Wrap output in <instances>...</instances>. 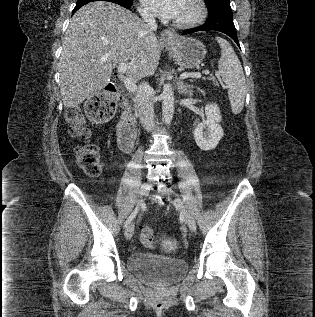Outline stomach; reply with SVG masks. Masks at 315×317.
Instances as JSON below:
<instances>
[{
	"label": "stomach",
	"mask_w": 315,
	"mask_h": 317,
	"mask_svg": "<svg viewBox=\"0 0 315 317\" xmlns=\"http://www.w3.org/2000/svg\"><path fill=\"white\" fill-rule=\"evenodd\" d=\"M164 44L174 60L184 68L197 67L206 55L203 43L194 38L176 36L172 40L165 41Z\"/></svg>",
	"instance_id": "obj_1"
}]
</instances>
